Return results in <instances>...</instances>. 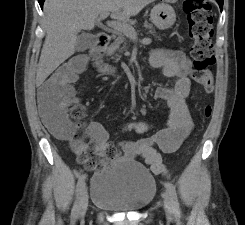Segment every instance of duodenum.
I'll list each match as a JSON object with an SVG mask.
<instances>
[{"mask_svg": "<svg viewBox=\"0 0 245 225\" xmlns=\"http://www.w3.org/2000/svg\"><path fill=\"white\" fill-rule=\"evenodd\" d=\"M110 42V35L106 32L98 33L96 36L95 46L91 50V55L94 60H99L101 56L105 53L107 46ZM96 68L104 73L110 74L112 72V67L104 63H96Z\"/></svg>", "mask_w": 245, "mask_h": 225, "instance_id": "obj_1", "label": "duodenum"}]
</instances>
